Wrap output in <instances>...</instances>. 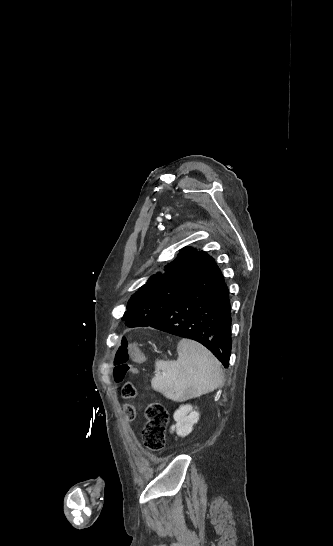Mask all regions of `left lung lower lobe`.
I'll return each instance as SVG.
<instances>
[{"mask_svg":"<svg viewBox=\"0 0 333 546\" xmlns=\"http://www.w3.org/2000/svg\"><path fill=\"white\" fill-rule=\"evenodd\" d=\"M231 322L229 290L210 257L189 288L162 309L155 322L145 326L203 344L227 368L232 346ZM139 324L136 316L125 320L128 327Z\"/></svg>","mask_w":333,"mask_h":546,"instance_id":"1","label":"left lung lower lobe"}]
</instances>
